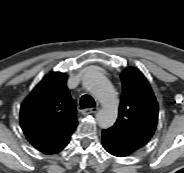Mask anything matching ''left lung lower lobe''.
<instances>
[{
    "instance_id": "obj_1",
    "label": "left lung lower lobe",
    "mask_w": 184,
    "mask_h": 173,
    "mask_svg": "<svg viewBox=\"0 0 184 173\" xmlns=\"http://www.w3.org/2000/svg\"><path fill=\"white\" fill-rule=\"evenodd\" d=\"M102 145L108 153L116 157H126L134 153L120 138L107 129L102 131Z\"/></svg>"
}]
</instances>
